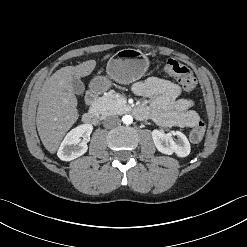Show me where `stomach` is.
Wrapping results in <instances>:
<instances>
[{"label":"stomach","mask_w":247,"mask_h":247,"mask_svg":"<svg viewBox=\"0 0 247 247\" xmlns=\"http://www.w3.org/2000/svg\"><path fill=\"white\" fill-rule=\"evenodd\" d=\"M149 60L136 49H123L112 56L106 67L107 77H95L90 88L92 91L103 92L111 86V80L120 84H130L139 80L148 70Z\"/></svg>","instance_id":"obj_1"}]
</instances>
